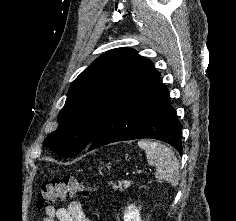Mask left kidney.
Returning a JSON list of instances; mask_svg holds the SVG:
<instances>
[{"instance_id":"1","label":"left kidney","mask_w":236,"mask_h":221,"mask_svg":"<svg viewBox=\"0 0 236 221\" xmlns=\"http://www.w3.org/2000/svg\"><path fill=\"white\" fill-rule=\"evenodd\" d=\"M124 221H142L140 216V210L135 205L128 206L124 212Z\"/></svg>"}]
</instances>
